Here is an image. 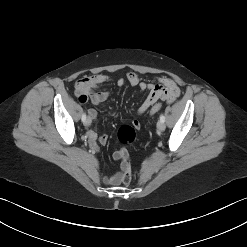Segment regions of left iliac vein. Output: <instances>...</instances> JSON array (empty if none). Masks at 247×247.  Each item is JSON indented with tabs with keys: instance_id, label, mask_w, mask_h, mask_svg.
Listing matches in <instances>:
<instances>
[{
	"instance_id": "1",
	"label": "left iliac vein",
	"mask_w": 247,
	"mask_h": 247,
	"mask_svg": "<svg viewBox=\"0 0 247 247\" xmlns=\"http://www.w3.org/2000/svg\"><path fill=\"white\" fill-rule=\"evenodd\" d=\"M157 129L160 131V132H163L165 130V124L164 122H162L161 120L158 121L157 123Z\"/></svg>"
}]
</instances>
